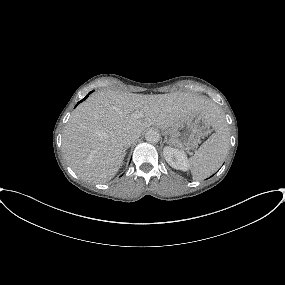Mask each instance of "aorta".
<instances>
[{
    "label": "aorta",
    "mask_w": 285,
    "mask_h": 285,
    "mask_svg": "<svg viewBox=\"0 0 285 285\" xmlns=\"http://www.w3.org/2000/svg\"><path fill=\"white\" fill-rule=\"evenodd\" d=\"M145 139L147 142L154 144L159 142L160 134L157 130L150 129L149 131L146 132Z\"/></svg>",
    "instance_id": "1"
}]
</instances>
